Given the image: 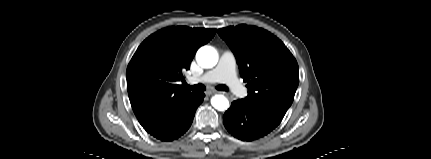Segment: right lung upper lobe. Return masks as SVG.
Returning a JSON list of instances; mask_svg holds the SVG:
<instances>
[{"instance_id": "right-lung-upper-lobe-1", "label": "right lung upper lobe", "mask_w": 431, "mask_h": 159, "mask_svg": "<svg viewBox=\"0 0 431 159\" xmlns=\"http://www.w3.org/2000/svg\"><path fill=\"white\" fill-rule=\"evenodd\" d=\"M215 29L168 27L148 38L136 50L126 71L132 109L149 131L192 93L179 82L198 48L208 43Z\"/></svg>"}]
</instances>
